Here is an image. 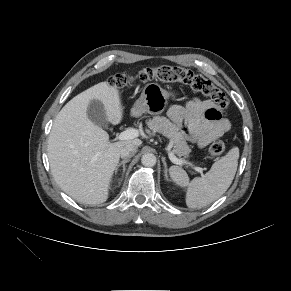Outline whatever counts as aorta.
Wrapping results in <instances>:
<instances>
[{"label": "aorta", "instance_id": "obj_1", "mask_svg": "<svg viewBox=\"0 0 291 291\" xmlns=\"http://www.w3.org/2000/svg\"><path fill=\"white\" fill-rule=\"evenodd\" d=\"M141 163L145 167H153L156 164V156L152 153H146L142 156Z\"/></svg>", "mask_w": 291, "mask_h": 291}]
</instances>
